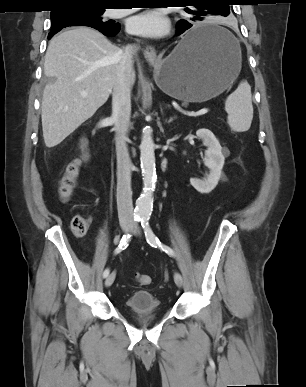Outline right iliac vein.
I'll return each instance as SVG.
<instances>
[{"instance_id": "63e3f726", "label": "right iliac vein", "mask_w": 306, "mask_h": 387, "mask_svg": "<svg viewBox=\"0 0 306 387\" xmlns=\"http://www.w3.org/2000/svg\"><path fill=\"white\" fill-rule=\"evenodd\" d=\"M121 228H122L123 231L127 232V231L130 230L131 224H130L129 222H123V223L121 224ZM115 276H116L115 272H112V273L106 278V280H105V286H106V287H110V286L113 284V282H114V280H115Z\"/></svg>"}]
</instances>
